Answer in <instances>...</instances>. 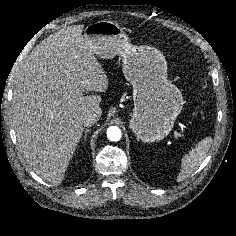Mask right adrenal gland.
<instances>
[{
	"instance_id": "2a0ac1e0",
	"label": "right adrenal gland",
	"mask_w": 236,
	"mask_h": 236,
	"mask_svg": "<svg viewBox=\"0 0 236 236\" xmlns=\"http://www.w3.org/2000/svg\"><path fill=\"white\" fill-rule=\"evenodd\" d=\"M89 129H86V131L84 132V141H83V143L86 141V139H87V134L89 133Z\"/></svg>"
}]
</instances>
